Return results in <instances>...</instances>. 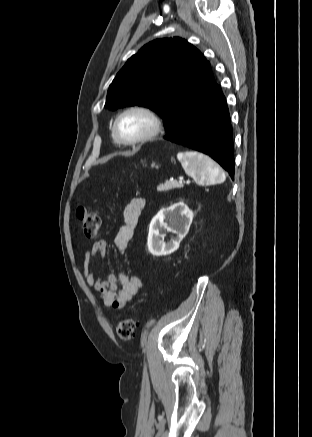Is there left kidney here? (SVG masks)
Instances as JSON below:
<instances>
[{"instance_id": "5707ae66", "label": "left kidney", "mask_w": 312, "mask_h": 437, "mask_svg": "<svg viewBox=\"0 0 312 437\" xmlns=\"http://www.w3.org/2000/svg\"><path fill=\"white\" fill-rule=\"evenodd\" d=\"M192 219V212L183 202L161 209L149 226L147 245L150 253L153 256H162L176 251L185 234L189 231ZM166 231L175 234L167 243L164 242Z\"/></svg>"}]
</instances>
